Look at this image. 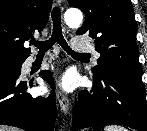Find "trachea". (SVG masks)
Returning a JSON list of instances; mask_svg holds the SVG:
<instances>
[{"mask_svg":"<svg viewBox=\"0 0 147 131\" xmlns=\"http://www.w3.org/2000/svg\"><path fill=\"white\" fill-rule=\"evenodd\" d=\"M51 17L53 21V33L51 37L45 41H35V40L32 41V44H34L39 49L38 53L44 54L57 42L69 55H71L74 58L88 56V54L85 53L74 52L68 46L62 34L61 12L58 7L53 8Z\"/></svg>","mask_w":147,"mask_h":131,"instance_id":"3493384b","label":"trachea"}]
</instances>
